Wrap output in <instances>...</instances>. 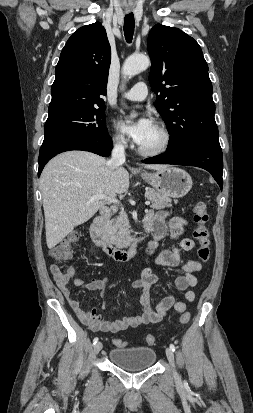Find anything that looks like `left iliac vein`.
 <instances>
[{"instance_id":"4c4485c4","label":"left iliac vein","mask_w":253,"mask_h":413,"mask_svg":"<svg viewBox=\"0 0 253 413\" xmlns=\"http://www.w3.org/2000/svg\"><path fill=\"white\" fill-rule=\"evenodd\" d=\"M166 356H167V359H168L171 367L174 368L175 367L174 354H173V351L170 348L166 349ZM174 375L176 377H178V374H177L176 371H174Z\"/></svg>"}]
</instances>
